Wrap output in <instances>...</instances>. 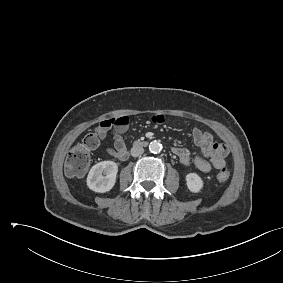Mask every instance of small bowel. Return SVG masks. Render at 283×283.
<instances>
[{"label": "small bowel", "instance_id": "small-bowel-1", "mask_svg": "<svg viewBox=\"0 0 283 283\" xmlns=\"http://www.w3.org/2000/svg\"><path fill=\"white\" fill-rule=\"evenodd\" d=\"M153 122L160 124L164 118L156 114ZM128 129V117L120 116L103 120L99 127V138L104 140L108 131L114 135V146L107 148L106 152L118 160H125L128 151L124 141V135ZM194 143L201 149V153L193 158L188 149L175 146L173 153L178 157L181 164L188 166L193 163L202 172H210L213 168L222 169L226 166V158L229 155V148L226 144L214 142L213 136L207 131L194 127L192 130Z\"/></svg>", "mask_w": 283, "mask_h": 283}]
</instances>
